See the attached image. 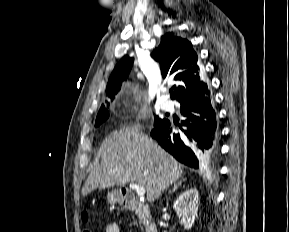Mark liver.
I'll list each match as a JSON object with an SVG mask.
<instances>
[{
  "label": "liver",
  "instance_id": "obj_1",
  "mask_svg": "<svg viewBox=\"0 0 289 232\" xmlns=\"http://www.w3.org/2000/svg\"><path fill=\"white\" fill-rule=\"evenodd\" d=\"M100 164L88 176L82 195L96 189L137 183L146 189L147 200L152 203L183 170L174 157L162 149L148 135L133 128L113 132L101 144Z\"/></svg>",
  "mask_w": 289,
  "mask_h": 232
}]
</instances>
